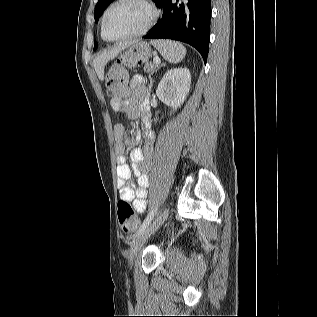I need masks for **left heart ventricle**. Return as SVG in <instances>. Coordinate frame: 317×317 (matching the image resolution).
<instances>
[{
  "label": "left heart ventricle",
  "mask_w": 317,
  "mask_h": 317,
  "mask_svg": "<svg viewBox=\"0 0 317 317\" xmlns=\"http://www.w3.org/2000/svg\"><path fill=\"white\" fill-rule=\"evenodd\" d=\"M149 18L148 9L134 0L116 5L108 14L105 33L108 38H118L141 29Z\"/></svg>",
  "instance_id": "1"
}]
</instances>
